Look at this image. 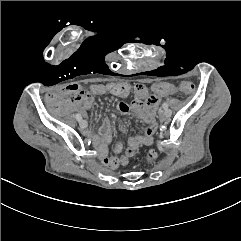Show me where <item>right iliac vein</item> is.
<instances>
[{
	"mask_svg": "<svg viewBox=\"0 0 241 241\" xmlns=\"http://www.w3.org/2000/svg\"><path fill=\"white\" fill-rule=\"evenodd\" d=\"M79 125H80L81 128H86L87 127V122L85 120H81L79 122Z\"/></svg>",
	"mask_w": 241,
	"mask_h": 241,
	"instance_id": "1",
	"label": "right iliac vein"
}]
</instances>
